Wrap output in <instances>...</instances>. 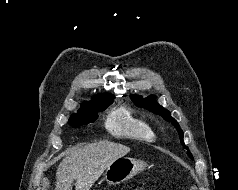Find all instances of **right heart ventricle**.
Returning a JSON list of instances; mask_svg holds the SVG:
<instances>
[{"label":"right heart ventricle","instance_id":"1","mask_svg":"<svg viewBox=\"0 0 238 190\" xmlns=\"http://www.w3.org/2000/svg\"><path fill=\"white\" fill-rule=\"evenodd\" d=\"M105 127L114 135L129 136L145 141H152L155 138L150 124L127 107L112 110L105 120Z\"/></svg>","mask_w":238,"mask_h":190}]
</instances>
